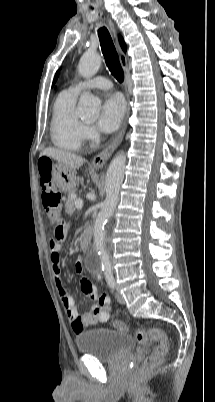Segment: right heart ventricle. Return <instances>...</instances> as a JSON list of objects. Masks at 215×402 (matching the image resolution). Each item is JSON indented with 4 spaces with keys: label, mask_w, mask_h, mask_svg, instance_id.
I'll list each match as a JSON object with an SVG mask.
<instances>
[{
    "label": "right heart ventricle",
    "mask_w": 215,
    "mask_h": 402,
    "mask_svg": "<svg viewBox=\"0 0 215 402\" xmlns=\"http://www.w3.org/2000/svg\"><path fill=\"white\" fill-rule=\"evenodd\" d=\"M77 94L61 91L55 99L50 124V136L58 148L70 151L80 149L84 124L75 113Z\"/></svg>",
    "instance_id": "obj_1"
}]
</instances>
